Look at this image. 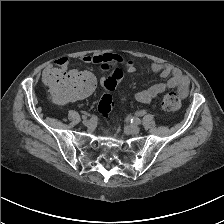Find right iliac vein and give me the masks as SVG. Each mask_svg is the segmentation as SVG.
I'll list each match as a JSON object with an SVG mask.
<instances>
[{
  "label": "right iliac vein",
  "instance_id": "63e3f726",
  "mask_svg": "<svg viewBox=\"0 0 224 224\" xmlns=\"http://www.w3.org/2000/svg\"><path fill=\"white\" fill-rule=\"evenodd\" d=\"M83 124H84L86 127H88V128H90V127L93 126V123H92V121H90V120H84V121H83Z\"/></svg>",
  "mask_w": 224,
  "mask_h": 224
}]
</instances>
